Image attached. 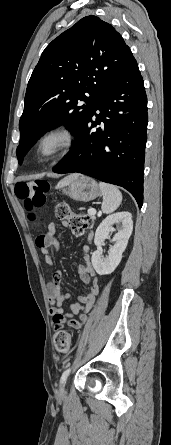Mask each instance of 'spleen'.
Returning a JSON list of instances; mask_svg holds the SVG:
<instances>
[{
    "label": "spleen",
    "mask_w": 171,
    "mask_h": 445,
    "mask_svg": "<svg viewBox=\"0 0 171 445\" xmlns=\"http://www.w3.org/2000/svg\"><path fill=\"white\" fill-rule=\"evenodd\" d=\"M99 187L103 196V202L101 206L102 212L105 214H110L120 206L122 201V194L116 186H113L111 184L100 182Z\"/></svg>",
    "instance_id": "1"
}]
</instances>
